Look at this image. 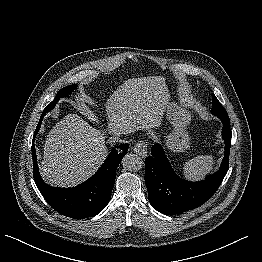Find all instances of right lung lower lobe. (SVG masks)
<instances>
[{"mask_svg":"<svg viewBox=\"0 0 262 262\" xmlns=\"http://www.w3.org/2000/svg\"><path fill=\"white\" fill-rule=\"evenodd\" d=\"M43 111L33 140L39 131ZM129 145L122 144L113 148L99 170L82 184L72 188H58L46 184L39 173L34 141L32 142L34 181L47 203L58 213L74 219L92 217L101 212L108 204L115 182L116 169L127 154Z\"/></svg>","mask_w":262,"mask_h":262,"instance_id":"obj_1","label":"right lung lower lobe"}]
</instances>
